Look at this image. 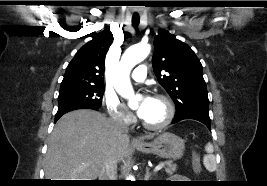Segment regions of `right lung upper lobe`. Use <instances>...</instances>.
Instances as JSON below:
<instances>
[{"instance_id": "cb5924a9", "label": "right lung upper lobe", "mask_w": 267, "mask_h": 186, "mask_svg": "<svg viewBox=\"0 0 267 186\" xmlns=\"http://www.w3.org/2000/svg\"><path fill=\"white\" fill-rule=\"evenodd\" d=\"M112 43L113 35L109 29L96 34L75 54L67 67L61 86H104L105 56Z\"/></svg>"}]
</instances>
